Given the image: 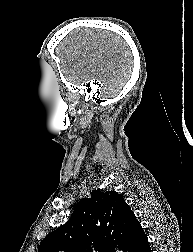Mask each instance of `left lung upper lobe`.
<instances>
[{"label": "left lung upper lobe", "instance_id": "left-lung-upper-lobe-1", "mask_svg": "<svg viewBox=\"0 0 193 252\" xmlns=\"http://www.w3.org/2000/svg\"><path fill=\"white\" fill-rule=\"evenodd\" d=\"M140 223L121 195L94 190L80 200L64 225L40 243L38 252H115L126 250Z\"/></svg>", "mask_w": 193, "mask_h": 252}]
</instances>
